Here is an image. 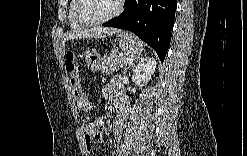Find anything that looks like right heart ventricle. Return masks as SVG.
Here are the masks:
<instances>
[{
    "mask_svg": "<svg viewBox=\"0 0 247 156\" xmlns=\"http://www.w3.org/2000/svg\"><path fill=\"white\" fill-rule=\"evenodd\" d=\"M77 4H78V0H71L68 8V22L70 27L74 30H78L83 27L77 22L75 17Z\"/></svg>",
    "mask_w": 247,
    "mask_h": 156,
    "instance_id": "obj_1",
    "label": "right heart ventricle"
}]
</instances>
